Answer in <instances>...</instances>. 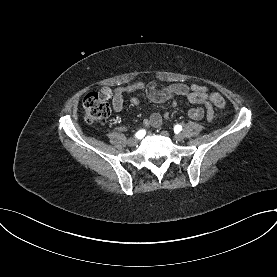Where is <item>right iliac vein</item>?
Segmentation results:
<instances>
[{
	"mask_svg": "<svg viewBox=\"0 0 277 277\" xmlns=\"http://www.w3.org/2000/svg\"><path fill=\"white\" fill-rule=\"evenodd\" d=\"M127 143H128L129 146L133 147L138 143V139L137 138H130Z\"/></svg>",
	"mask_w": 277,
	"mask_h": 277,
	"instance_id": "1",
	"label": "right iliac vein"
}]
</instances>
